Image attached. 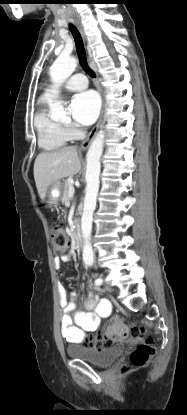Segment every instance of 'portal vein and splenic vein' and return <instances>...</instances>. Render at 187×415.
Wrapping results in <instances>:
<instances>
[{"mask_svg":"<svg viewBox=\"0 0 187 415\" xmlns=\"http://www.w3.org/2000/svg\"><path fill=\"white\" fill-rule=\"evenodd\" d=\"M74 192H75V189H74V187H73V186H71V187H70V190H69V197H70V198H73V196H74Z\"/></svg>","mask_w":187,"mask_h":415,"instance_id":"1","label":"portal vein and splenic vein"}]
</instances>
